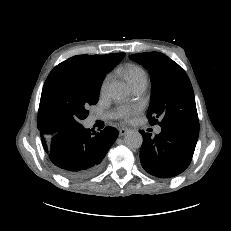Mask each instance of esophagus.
I'll use <instances>...</instances> for the list:
<instances>
[{"mask_svg":"<svg viewBox=\"0 0 231 231\" xmlns=\"http://www.w3.org/2000/svg\"><path fill=\"white\" fill-rule=\"evenodd\" d=\"M128 132V128H120L119 129V135L123 136Z\"/></svg>","mask_w":231,"mask_h":231,"instance_id":"obj_1","label":"esophagus"}]
</instances>
